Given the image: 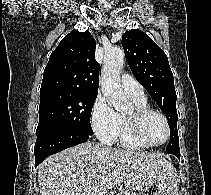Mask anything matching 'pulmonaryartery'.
Listing matches in <instances>:
<instances>
[{
  "label": "pulmonary artery",
  "instance_id": "1",
  "mask_svg": "<svg viewBox=\"0 0 211 195\" xmlns=\"http://www.w3.org/2000/svg\"><path fill=\"white\" fill-rule=\"evenodd\" d=\"M121 85L124 92L131 98H145L143 86L137 82L132 76L123 74L121 76Z\"/></svg>",
  "mask_w": 211,
  "mask_h": 195
}]
</instances>
